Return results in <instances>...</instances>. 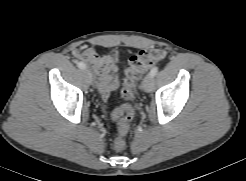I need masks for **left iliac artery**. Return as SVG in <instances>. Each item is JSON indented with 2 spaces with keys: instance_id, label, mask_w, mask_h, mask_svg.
I'll list each match as a JSON object with an SVG mask.
<instances>
[{
  "instance_id": "44dca946",
  "label": "left iliac artery",
  "mask_w": 246,
  "mask_h": 181,
  "mask_svg": "<svg viewBox=\"0 0 246 181\" xmlns=\"http://www.w3.org/2000/svg\"><path fill=\"white\" fill-rule=\"evenodd\" d=\"M157 72H158V67L155 66L151 69L150 74L154 77L157 74Z\"/></svg>"
}]
</instances>
